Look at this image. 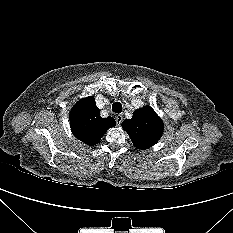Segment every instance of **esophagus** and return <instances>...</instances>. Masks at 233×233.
<instances>
[{
  "label": "esophagus",
  "instance_id": "obj_1",
  "mask_svg": "<svg viewBox=\"0 0 233 233\" xmlns=\"http://www.w3.org/2000/svg\"><path fill=\"white\" fill-rule=\"evenodd\" d=\"M123 121V116L121 114L116 116V124L119 126Z\"/></svg>",
  "mask_w": 233,
  "mask_h": 233
}]
</instances>
